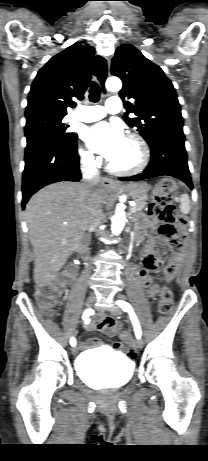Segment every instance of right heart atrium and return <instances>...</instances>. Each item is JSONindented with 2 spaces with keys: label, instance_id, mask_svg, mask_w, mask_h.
Returning a JSON list of instances; mask_svg holds the SVG:
<instances>
[{
  "label": "right heart atrium",
  "instance_id": "obj_1",
  "mask_svg": "<svg viewBox=\"0 0 208 461\" xmlns=\"http://www.w3.org/2000/svg\"><path fill=\"white\" fill-rule=\"evenodd\" d=\"M80 162L85 167H95L98 164L97 157L88 149L79 150Z\"/></svg>",
  "mask_w": 208,
  "mask_h": 461
}]
</instances>
